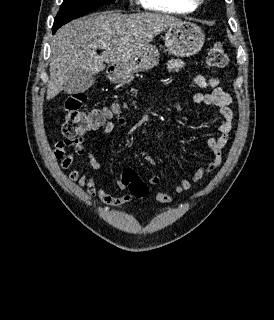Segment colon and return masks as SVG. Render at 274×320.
<instances>
[{
    "label": "colon",
    "instance_id": "1",
    "mask_svg": "<svg viewBox=\"0 0 274 320\" xmlns=\"http://www.w3.org/2000/svg\"><path fill=\"white\" fill-rule=\"evenodd\" d=\"M207 64L212 69H223L228 64V55L222 45L214 44L207 52ZM85 95L74 93L67 97L63 103V119L61 124L62 134H87L92 131V124L96 120H111L115 111L84 110ZM121 182L129 188L134 197H144L148 194L146 183L137 175L133 168L125 169L121 175Z\"/></svg>",
    "mask_w": 274,
    "mask_h": 320
}]
</instances>
